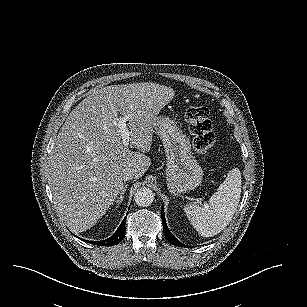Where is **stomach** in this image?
I'll list each match as a JSON object with an SVG mask.
<instances>
[{
	"instance_id": "stomach-1",
	"label": "stomach",
	"mask_w": 307,
	"mask_h": 307,
	"mask_svg": "<svg viewBox=\"0 0 307 307\" xmlns=\"http://www.w3.org/2000/svg\"><path fill=\"white\" fill-rule=\"evenodd\" d=\"M155 133L163 143L166 155L167 187L172 194H180L198 187L203 170L191 154L190 139L169 117L159 116Z\"/></svg>"
}]
</instances>
